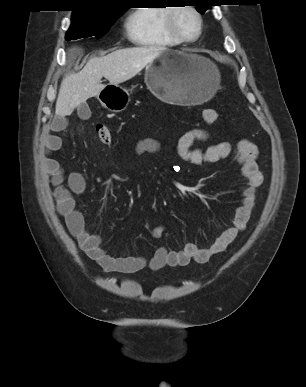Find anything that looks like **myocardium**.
I'll use <instances>...</instances> for the list:
<instances>
[{
  "instance_id": "1",
  "label": "myocardium",
  "mask_w": 306,
  "mask_h": 387,
  "mask_svg": "<svg viewBox=\"0 0 306 387\" xmlns=\"http://www.w3.org/2000/svg\"><path fill=\"white\" fill-rule=\"evenodd\" d=\"M189 10L191 11L197 18L198 20V30L197 33L194 37L188 38L184 36L180 30L177 27L176 24V14L180 10ZM203 16L201 12L194 6L192 5H181V6H173L172 8L169 9L167 17H166V27L169 32V34L179 41L180 43H194L196 42L202 35L203 33Z\"/></svg>"
}]
</instances>
